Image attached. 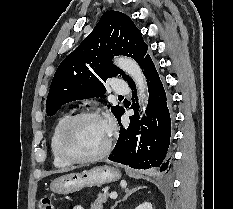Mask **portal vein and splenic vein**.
Listing matches in <instances>:
<instances>
[{
    "label": "portal vein and splenic vein",
    "instance_id": "1",
    "mask_svg": "<svg viewBox=\"0 0 233 209\" xmlns=\"http://www.w3.org/2000/svg\"><path fill=\"white\" fill-rule=\"evenodd\" d=\"M110 198L111 199H116L117 198V193L116 192H111Z\"/></svg>",
    "mask_w": 233,
    "mask_h": 209
}]
</instances>
